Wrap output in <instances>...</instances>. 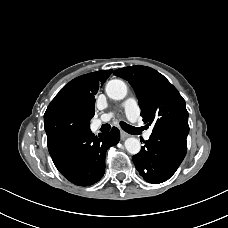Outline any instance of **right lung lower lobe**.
Segmentation results:
<instances>
[{"mask_svg":"<svg viewBox=\"0 0 228 228\" xmlns=\"http://www.w3.org/2000/svg\"><path fill=\"white\" fill-rule=\"evenodd\" d=\"M119 140L120 132L116 127L98 136L88 129L49 143L48 150L56 168L65 178L76 185L89 186L104 175L106 151Z\"/></svg>","mask_w":228,"mask_h":228,"instance_id":"obj_1","label":"right lung lower lobe"}]
</instances>
